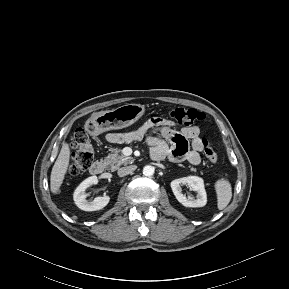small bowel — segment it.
Returning a JSON list of instances; mask_svg holds the SVG:
<instances>
[{"label":"small bowel","instance_id":"small-bowel-1","mask_svg":"<svg viewBox=\"0 0 289 289\" xmlns=\"http://www.w3.org/2000/svg\"><path fill=\"white\" fill-rule=\"evenodd\" d=\"M199 134V128L196 126L185 127L178 132L168 121L152 118L129 133H111L107 140L111 143H122L146 139L152 147L153 159L161 160L168 157L173 162L186 160L197 165L201 160L200 153L204 150V141ZM167 142L170 143V148Z\"/></svg>","mask_w":289,"mask_h":289}]
</instances>
